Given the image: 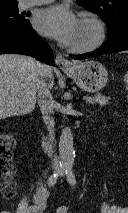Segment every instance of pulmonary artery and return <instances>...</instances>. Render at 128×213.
Segmentation results:
<instances>
[{"mask_svg":"<svg viewBox=\"0 0 128 213\" xmlns=\"http://www.w3.org/2000/svg\"><path fill=\"white\" fill-rule=\"evenodd\" d=\"M52 1H54V0H22L21 6L23 8H29V7H32V6L47 4V3H50Z\"/></svg>","mask_w":128,"mask_h":213,"instance_id":"pulmonary-artery-1","label":"pulmonary artery"}]
</instances>
